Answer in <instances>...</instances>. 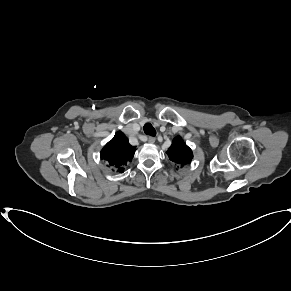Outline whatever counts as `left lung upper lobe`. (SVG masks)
Here are the masks:
<instances>
[{"label":"left lung upper lobe","instance_id":"5c2ea615","mask_svg":"<svg viewBox=\"0 0 291 291\" xmlns=\"http://www.w3.org/2000/svg\"><path fill=\"white\" fill-rule=\"evenodd\" d=\"M169 159L180 166H184L189 163L193 154L191 149L184 143L181 137H175L172 141V145L167 151Z\"/></svg>","mask_w":291,"mask_h":291}]
</instances>
